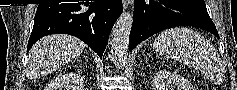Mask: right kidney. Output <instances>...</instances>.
Returning <instances> with one entry per match:
<instances>
[{"instance_id":"obj_1","label":"right kidney","mask_w":237,"mask_h":90,"mask_svg":"<svg viewBox=\"0 0 237 90\" xmlns=\"http://www.w3.org/2000/svg\"><path fill=\"white\" fill-rule=\"evenodd\" d=\"M77 80H78V76H76ZM59 86H53V90H58Z\"/></svg>"}]
</instances>
